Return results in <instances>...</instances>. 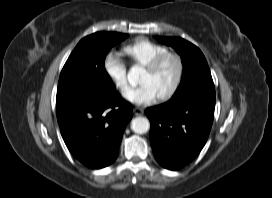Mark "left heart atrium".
<instances>
[{"label":"left heart atrium","mask_w":272,"mask_h":198,"mask_svg":"<svg viewBox=\"0 0 272 198\" xmlns=\"http://www.w3.org/2000/svg\"><path fill=\"white\" fill-rule=\"evenodd\" d=\"M123 97L130 103L143 106L154 103L158 98V95L150 84L144 83L137 87L126 89L123 92Z\"/></svg>","instance_id":"obj_1"}]
</instances>
